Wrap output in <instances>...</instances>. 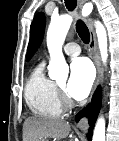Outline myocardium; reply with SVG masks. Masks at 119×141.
Returning a JSON list of instances; mask_svg holds the SVG:
<instances>
[{
  "label": "myocardium",
  "mask_w": 119,
  "mask_h": 141,
  "mask_svg": "<svg viewBox=\"0 0 119 141\" xmlns=\"http://www.w3.org/2000/svg\"><path fill=\"white\" fill-rule=\"evenodd\" d=\"M57 92H58V97H59L61 106L64 108L71 107V103L68 100V98L66 97V95L64 94V90L60 85H57Z\"/></svg>",
  "instance_id": "f54148a6"
}]
</instances>
